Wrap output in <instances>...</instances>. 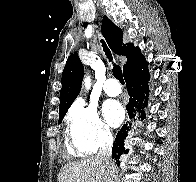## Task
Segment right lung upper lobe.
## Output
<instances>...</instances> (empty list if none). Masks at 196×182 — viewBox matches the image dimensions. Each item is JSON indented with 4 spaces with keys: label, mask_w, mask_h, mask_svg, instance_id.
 Here are the masks:
<instances>
[{
    "label": "right lung upper lobe",
    "mask_w": 196,
    "mask_h": 182,
    "mask_svg": "<svg viewBox=\"0 0 196 182\" xmlns=\"http://www.w3.org/2000/svg\"><path fill=\"white\" fill-rule=\"evenodd\" d=\"M102 34L106 38L112 51L127 58L123 72L143 57L140 49L133 43H122V30L115 26L106 16L102 21ZM84 76V67L77 53L71 54L62 73V88L60 91L59 117L67 110L78 96Z\"/></svg>",
    "instance_id": "cb5924a9"
}]
</instances>
